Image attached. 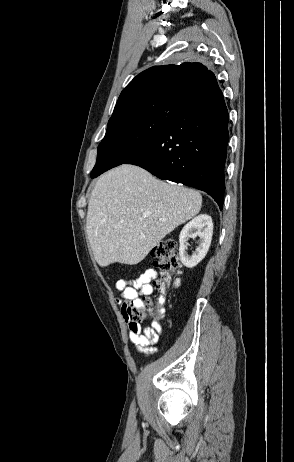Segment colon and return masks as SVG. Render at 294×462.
I'll return each mask as SVG.
<instances>
[{"label": "colon", "instance_id": "1", "mask_svg": "<svg viewBox=\"0 0 294 462\" xmlns=\"http://www.w3.org/2000/svg\"><path fill=\"white\" fill-rule=\"evenodd\" d=\"M154 264L160 271V277L153 281L156 289L162 293L179 284L177 275L180 272L181 262L179 259L176 243L173 240H165L155 246L151 251ZM131 318L140 323L152 315V302L148 298L141 299V306L130 305L128 307ZM163 308L158 307V312L163 313Z\"/></svg>", "mask_w": 294, "mask_h": 462}]
</instances>
